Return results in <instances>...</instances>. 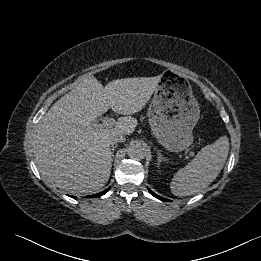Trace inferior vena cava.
<instances>
[{
  "instance_id": "obj_1",
  "label": "inferior vena cava",
  "mask_w": 261,
  "mask_h": 261,
  "mask_svg": "<svg viewBox=\"0 0 261 261\" xmlns=\"http://www.w3.org/2000/svg\"><path fill=\"white\" fill-rule=\"evenodd\" d=\"M125 141V137L123 134H112L110 136V143L111 145H114L118 142H124Z\"/></svg>"
}]
</instances>
